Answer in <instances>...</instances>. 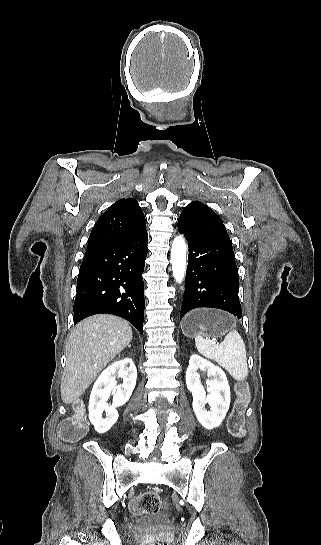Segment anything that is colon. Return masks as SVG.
Instances as JSON below:
<instances>
[{"mask_svg": "<svg viewBox=\"0 0 321 545\" xmlns=\"http://www.w3.org/2000/svg\"><path fill=\"white\" fill-rule=\"evenodd\" d=\"M249 390L246 385L238 384L236 387V399L232 412L229 416L227 427L233 437L241 438L245 435L244 413L249 401ZM87 422L84 410L77 406L74 415L64 420L59 428L60 437L67 442H77L82 439L87 432ZM163 506L161 496L153 491L138 495L130 504V510L134 514L157 513ZM143 545H168L167 541L161 536L148 537Z\"/></svg>", "mask_w": 321, "mask_h": 545, "instance_id": "5ec220e1", "label": "colon"}]
</instances>
